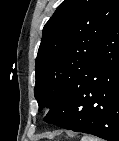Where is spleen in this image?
I'll return each mask as SVG.
<instances>
[{"label": "spleen", "mask_w": 119, "mask_h": 141, "mask_svg": "<svg viewBox=\"0 0 119 141\" xmlns=\"http://www.w3.org/2000/svg\"><path fill=\"white\" fill-rule=\"evenodd\" d=\"M81 141H99L98 138H95V137H91V136H83Z\"/></svg>", "instance_id": "spleen-1"}]
</instances>
